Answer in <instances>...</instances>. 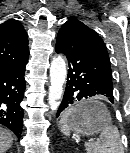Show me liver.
<instances>
[{
  "label": "liver",
  "instance_id": "6515ba94",
  "mask_svg": "<svg viewBox=\"0 0 130 153\" xmlns=\"http://www.w3.org/2000/svg\"><path fill=\"white\" fill-rule=\"evenodd\" d=\"M13 143V135L8 130L0 127V153H6Z\"/></svg>",
  "mask_w": 130,
  "mask_h": 153
}]
</instances>
